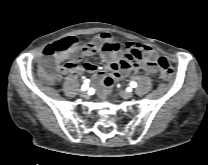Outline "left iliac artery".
Instances as JSON below:
<instances>
[{"label":"left iliac artery","mask_w":208,"mask_h":165,"mask_svg":"<svg viewBox=\"0 0 208 165\" xmlns=\"http://www.w3.org/2000/svg\"><path fill=\"white\" fill-rule=\"evenodd\" d=\"M130 85L135 88L137 86V83L136 82H131Z\"/></svg>","instance_id":"44dca946"}]
</instances>
